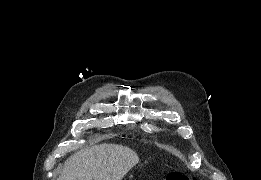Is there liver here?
Wrapping results in <instances>:
<instances>
[{
    "label": "liver",
    "mask_w": 261,
    "mask_h": 180,
    "mask_svg": "<svg viewBox=\"0 0 261 180\" xmlns=\"http://www.w3.org/2000/svg\"><path fill=\"white\" fill-rule=\"evenodd\" d=\"M136 164L139 158L130 148L99 144L72 154L58 180H122Z\"/></svg>",
    "instance_id": "obj_1"
}]
</instances>
